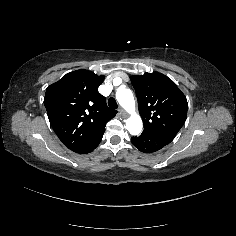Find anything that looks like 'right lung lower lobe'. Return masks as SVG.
I'll use <instances>...</instances> for the list:
<instances>
[{"mask_svg": "<svg viewBox=\"0 0 236 236\" xmlns=\"http://www.w3.org/2000/svg\"><path fill=\"white\" fill-rule=\"evenodd\" d=\"M102 137H103V135L100 138H98L97 140H95L94 142L74 150V152L80 153V154H86V153L93 151L99 145Z\"/></svg>", "mask_w": 236, "mask_h": 236, "instance_id": "1", "label": "right lung lower lobe"}]
</instances>
